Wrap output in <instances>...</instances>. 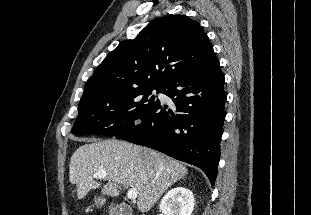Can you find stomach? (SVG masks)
<instances>
[{
	"label": "stomach",
	"instance_id": "stomach-1",
	"mask_svg": "<svg viewBox=\"0 0 311 215\" xmlns=\"http://www.w3.org/2000/svg\"><path fill=\"white\" fill-rule=\"evenodd\" d=\"M94 205H96L97 207L102 206L105 203V199L102 197H95L94 198ZM110 215H116V209L114 207H111L110 210Z\"/></svg>",
	"mask_w": 311,
	"mask_h": 215
}]
</instances>
